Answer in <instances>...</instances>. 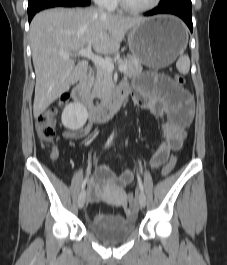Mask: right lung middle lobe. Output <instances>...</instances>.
<instances>
[{"mask_svg":"<svg viewBox=\"0 0 227 265\" xmlns=\"http://www.w3.org/2000/svg\"><path fill=\"white\" fill-rule=\"evenodd\" d=\"M43 0H29L28 2V9H32L39 5Z\"/></svg>","mask_w":227,"mask_h":265,"instance_id":"right-lung-middle-lobe-1","label":"right lung middle lobe"}]
</instances>
